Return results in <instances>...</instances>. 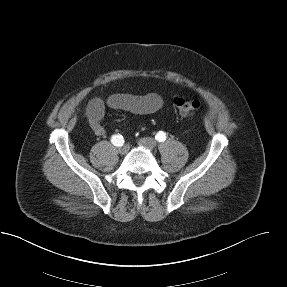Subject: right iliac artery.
Segmentation results:
<instances>
[{
    "mask_svg": "<svg viewBox=\"0 0 287 287\" xmlns=\"http://www.w3.org/2000/svg\"><path fill=\"white\" fill-rule=\"evenodd\" d=\"M111 142L115 145V146H122L124 144V138L122 135L120 134H114L111 137Z\"/></svg>",
    "mask_w": 287,
    "mask_h": 287,
    "instance_id": "obj_1",
    "label": "right iliac artery"
}]
</instances>
